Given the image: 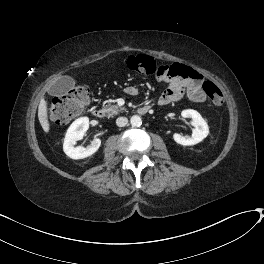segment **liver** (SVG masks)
<instances>
[{
	"mask_svg": "<svg viewBox=\"0 0 264 264\" xmlns=\"http://www.w3.org/2000/svg\"><path fill=\"white\" fill-rule=\"evenodd\" d=\"M38 117L40 124L43 128V130L48 133L50 130V124L48 121V112H47V101L42 100L40 105H39V110H38Z\"/></svg>",
	"mask_w": 264,
	"mask_h": 264,
	"instance_id": "obj_1",
	"label": "liver"
}]
</instances>
